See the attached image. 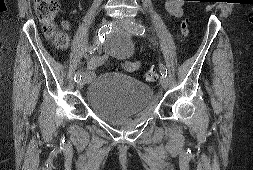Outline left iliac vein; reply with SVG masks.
I'll use <instances>...</instances> for the list:
<instances>
[{"mask_svg":"<svg viewBox=\"0 0 253 170\" xmlns=\"http://www.w3.org/2000/svg\"><path fill=\"white\" fill-rule=\"evenodd\" d=\"M114 23H115L116 25L121 24V25L123 26V28H124L126 31L130 32V33H132L133 25H134V24H137V22H136L134 19H132V18H123L122 20L116 18V19L114 20ZM133 34H134V33H133ZM160 84H161V86H162L164 89H166V88L168 87V85H169V81H168L167 77L162 76V77L160 78Z\"/></svg>","mask_w":253,"mask_h":170,"instance_id":"obj_1","label":"left iliac vein"}]
</instances>
